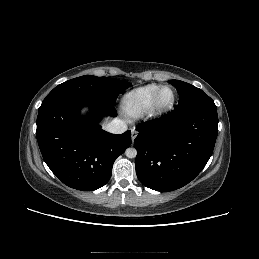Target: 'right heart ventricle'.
I'll use <instances>...</instances> for the list:
<instances>
[{"mask_svg":"<svg viewBox=\"0 0 259 259\" xmlns=\"http://www.w3.org/2000/svg\"><path fill=\"white\" fill-rule=\"evenodd\" d=\"M160 88L157 84H148L126 93L121 101L123 111L131 117H138L148 111L152 99Z\"/></svg>","mask_w":259,"mask_h":259,"instance_id":"e07e8e85","label":"right heart ventricle"}]
</instances>
